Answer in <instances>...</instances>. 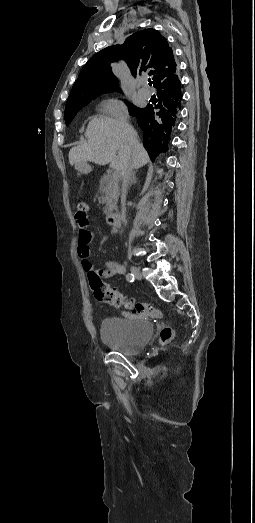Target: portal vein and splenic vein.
<instances>
[{
  "instance_id": "portal-vein-and-splenic-vein-1",
  "label": "portal vein and splenic vein",
  "mask_w": 255,
  "mask_h": 523,
  "mask_svg": "<svg viewBox=\"0 0 255 523\" xmlns=\"http://www.w3.org/2000/svg\"><path fill=\"white\" fill-rule=\"evenodd\" d=\"M118 173L117 167L115 165H112L110 167V174L116 175Z\"/></svg>"
}]
</instances>
